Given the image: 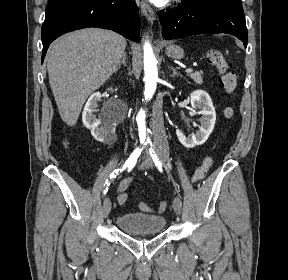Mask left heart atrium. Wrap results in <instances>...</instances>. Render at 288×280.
<instances>
[{
	"label": "left heart atrium",
	"mask_w": 288,
	"mask_h": 280,
	"mask_svg": "<svg viewBox=\"0 0 288 280\" xmlns=\"http://www.w3.org/2000/svg\"><path fill=\"white\" fill-rule=\"evenodd\" d=\"M151 1L157 5H163L168 2V0H151Z\"/></svg>",
	"instance_id": "left-heart-atrium-1"
}]
</instances>
